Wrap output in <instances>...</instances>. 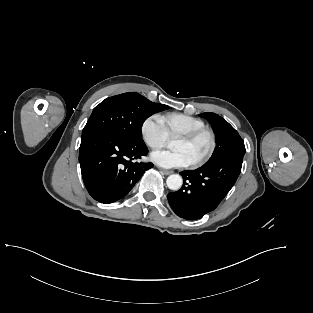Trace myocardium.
Returning a JSON list of instances; mask_svg holds the SVG:
<instances>
[{
  "label": "myocardium",
  "instance_id": "f54148a6",
  "mask_svg": "<svg viewBox=\"0 0 313 313\" xmlns=\"http://www.w3.org/2000/svg\"><path fill=\"white\" fill-rule=\"evenodd\" d=\"M204 135H207L209 137V140H210L209 147L207 151L201 157L191 162L190 164L191 167H199L210 159V157L213 155L216 149V144H217L216 135L213 130L204 127V128L178 136L179 139H182L186 142H192Z\"/></svg>",
  "mask_w": 313,
  "mask_h": 313
}]
</instances>
